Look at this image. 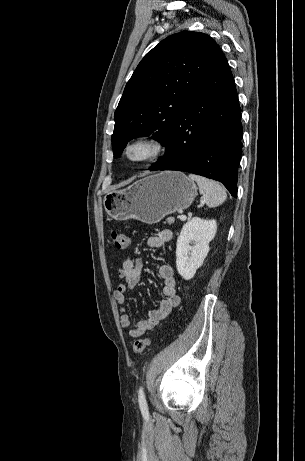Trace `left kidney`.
<instances>
[{"instance_id":"5707ae66","label":"left kidney","mask_w":305,"mask_h":461,"mask_svg":"<svg viewBox=\"0 0 305 461\" xmlns=\"http://www.w3.org/2000/svg\"><path fill=\"white\" fill-rule=\"evenodd\" d=\"M216 231V220L199 217L192 218L183 226L177 239L176 267L185 280L192 279L202 266L209 252V242L215 237Z\"/></svg>"}]
</instances>
